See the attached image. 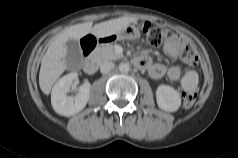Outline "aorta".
I'll list each match as a JSON object with an SVG mask.
<instances>
[{
	"label": "aorta",
	"mask_w": 238,
	"mask_h": 158,
	"mask_svg": "<svg viewBox=\"0 0 238 158\" xmlns=\"http://www.w3.org/2000/svg\"><path fill=\"white\" fill-rule=\"evenodd\" d=\"M130 70V65L129 63H120L119 64V71L121 73H128Z\"/></svg>",
	"instance_id": "1"
}]
</instances>
